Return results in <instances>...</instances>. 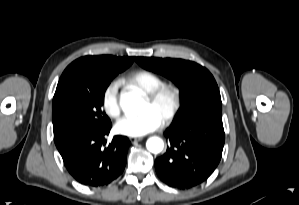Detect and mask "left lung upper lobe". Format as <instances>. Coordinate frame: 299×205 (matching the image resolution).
Instances as JSON below:
<instances>
[{
	"label": "left lung upper lobe",
	"instance_id": "left-lung-upper-lobe-1",
	"mask_svg": "<svg viewBox=\"0 0 299 205\" xmlns=\"http://www.w3.org/2000/svg\"><path fill=\"white\" fill-rule=\"evenodd\" d=\"M143 68L164 75L181 90L182 103L173 122L196 121L222 114V102L212 74L201 65L182 59L136 57Z\"/></svg>",
	"mask_w": 299,
	"mask_h": 205
}]
</instances>
